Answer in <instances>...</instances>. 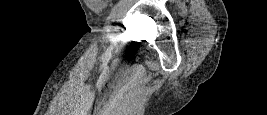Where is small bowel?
I'll return each mask as SVG.
<instances>
[{
    "label": "small bowel",
    "mask_w": 267,
    "mask_h": 115,
    "mask_svg": "<svg viewBox=\"0 0 267 115\" xmlns=\"http://www.w3.org/2000/svg\"><path fill=\"white\" fill-rule=\"evenodd\" d=\"M86 3L94 10H100L103 7V3L101 1L86 0Z\"/></svg>",
    "instance_id": "1"
}]
</instances>
